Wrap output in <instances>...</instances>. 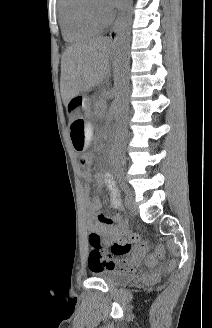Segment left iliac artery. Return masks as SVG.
Returning a JSON list of instances; mask_svg holds the SVG:
<instances>
[{"label": "left iliac artery", "instance_id": "obj_1", "mask_svg": "<svg viewBox=\"0 0 212 328\" xmlns=\"http://www.w3.org/2000/svg\"><path fill=\"white\" fill-rule=\"evenodd\" d=\"M120 182H121L120 186H121L122 190H123L125 193H127V185H126V184L124 183V181L121 180V179H120Z\"/></svg>", "mask_w": 212, "mask_h": 328}]
</instances>
